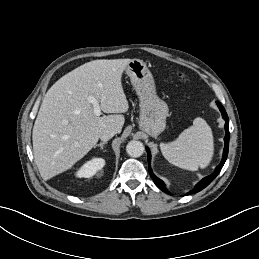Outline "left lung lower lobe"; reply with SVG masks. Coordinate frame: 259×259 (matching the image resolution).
I'll return each mask as SVG.
<instances>
[{
  "label": "left lung lower lobe",
  "instance_id": "1",
  "mask_svg": "<svg viewBox=\"0 0 259 259\" xmlns=\"http://www.w3.org/2000/svg\"><path fill=\"white\" fill-rule=\"evenodd\" d=\"M217 105L222 113V116L224 118V120L226 121L225 123V147H224V153H223V157H222V161L220 163V165L215 169L214 173L211 174L210 176H207L205 177L204 179H202L198 184H196V186L194 187L193 190H191L190 192L187 193V195L189 194H193V193H197L199 191H201L202 189H204L205 187H207L215 178L216 176L219 174V172L221 171L226 159H227V155H228V148H229V136H230V133H229V119H228V116H227V113L224 109V107L221 105V103L217 102ZM146 151L148 153V164H149V173H150V176L151 178L153 179L154 183L165 193L167 194H170L168 192V190L166 189L165 187V184L163 183L162 180H160L159 178H157L151 168H150V151L148 148H146Z\"/></svg>",
  "mask_w": 259,
  "mask_h": 259
}]
</instances>
